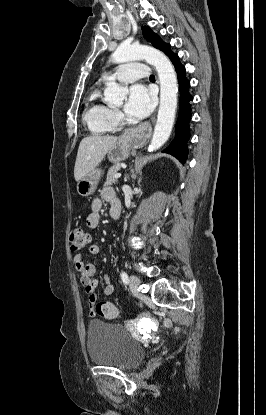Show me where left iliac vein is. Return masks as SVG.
<instances>
[{
    "mask_svg": "<svg viewBox=\"0 0 266 415\" xmlns=\"http://www.w3.org/2000/svg\"><path fill=\"white\" fill-rule=\"evenodd\" d=\"M141 281L137 276H131L130 277V281H129V287L130 290L133 294L138 295L139 291H138V287L140 285Z\"/></svg>",
    "mask_w": 266,
    "mask_h": 415,
    "instance_id": "obj_1",
    "label": "left iliac vein"
}]
</instances>
